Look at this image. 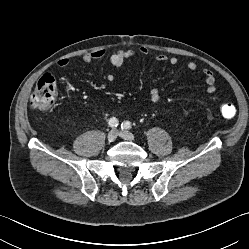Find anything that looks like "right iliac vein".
<instances>
[{
	"label": "right iliac vein",
	"instance_id": "63e3f726",
	"mask_svg": "<svg viewBox=\"0 0 249 249\" xmlns=\"http://www.w3.org/2000/svg\"><path fill=\"white\" fill-rule=\"evenodd\" d=\"M117 134V131L115 129H112L107 135V140L109 142H114L117 138Z\"/></svg>",
	"mask_w": 249,
	"mask_h": 249
}]
</instances>
